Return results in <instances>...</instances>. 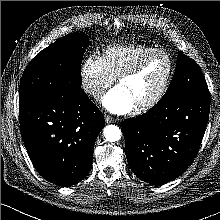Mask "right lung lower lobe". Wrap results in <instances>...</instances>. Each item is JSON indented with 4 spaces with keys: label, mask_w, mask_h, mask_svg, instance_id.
Masks as SVG:
<instances>
[{
    "label": "right lung lower lobe",
    "mask_w": 220,
    "mask_h": 220,
    "mask_svg": "<svg viewBox=\"0 0 220 220\" xmlns=\"http://www.w3.org/2000/svg\"><path fill=\"white\" fill-rule=\"evenodd\" d=\"M20 130L29 157L46 180L68 187L89 173L104 116L85 92L19 101Z\"/></svg>",
    "instance_id": "right-lung-lower-lobe-1"
}]
</instances>
